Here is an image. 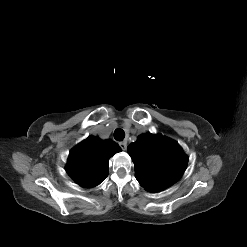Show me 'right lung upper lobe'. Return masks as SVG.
Instances as JSON below:
<instances>
[{"label":"right lung upper lobe","instance_id":"1","mask_svg":"<svg viewBox=\"0 0 247 247\" xmlns=\"http://www.w3.org/2000/svg\"><path fill=\"white\" fill-rule=\"evenodd\" d=\"M120 151L112 140L88 137L71 150L66 171L80 186L94 187L108 176V160Z\"/></svg>","mask_w":247,"mask_h":247}]
</instances>
